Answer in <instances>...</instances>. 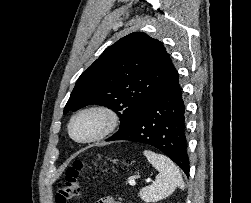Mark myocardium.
Wrapping results in <instances>:
<instances>
[{
	"mask_svg": "<svg viewBox=\"0 0 251 203\" xmlns=\"http://www.w3.org/2000/svg\"><path fill=\"white\" fill-rule=\"evenodd\" d=\"M86 114H94V115L99 116L102 121V124H101L100 129L95 134L87 138L81 139L75 136L73 132V125H74V122L79 117ZM118 125H119V116L112 108L105 105H101V104H94V105L81 108L72 115L68 124V131H69L70 137L74 141L78 143L86 144V143L100 141L108 137L110 134L114 132V130L117 128Z\"/></svg>",
	"mask_w": 251,
	"mask_h": 203,
	"instance_id": "myocardium-1",
	"label": "myocardium"
}]
</instances>
